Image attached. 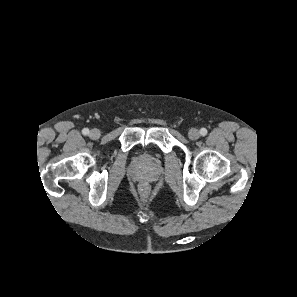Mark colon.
<instances>
[{
    "label": "colon",
    "instance_id": "obj_1",
    "mask_svg": "<svg viewBox=\"0 0 297 297\" xmlns=\"http://www.w3.org/2000/svg\"><path fill=\"white\" fill-rule=\"evenodd\" d=\"M142 191H143V193H147L148 188L146 186H143Z\"/></svg>",
    "mask_w": 297,
    "mask_h": 297
}]
</instances>
